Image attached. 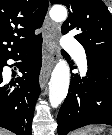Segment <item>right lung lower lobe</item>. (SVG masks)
Here are the masks:
<instances>
[{
	"instance_id": "obj_1",
	"label": "right lung lower lobe",
	"mask_w": 112,
	"mask_h": 135,
	"mask_svg": "<svg viewBox=\"0 0 112 135\" xmlns=\"http://www.w3.org/2000/svg\"><path fill=\"white\" fill-rule=\"evenodd\" d=\"M26 54V55H25ZM25 56L20 66L22 77L11 81V89L3 83L2 70L8 59L19 60ZM42 64V37L11 56L0 61V127L17 135H31L35 103L40 93L39 73Z\"/></svg>"
}]
</instances>
